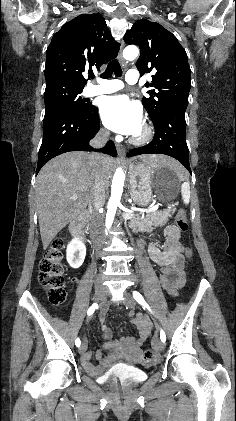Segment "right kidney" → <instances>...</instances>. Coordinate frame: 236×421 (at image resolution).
<instances>
[{"label": "right kidney", "mask_w": 236, "mask_h": 421, "mask_svg": "<svg viewBox=\"0 0 236 421\" xmlns=\"http://www.w3.org/2000/svg\"><path fill=\"white\" fill-rule=\"evenodd\" d=\"M85 257L86 247L84 243L78 241V239H72L66 251L67 263H69L70 267H73V269H79V267L83 265Z\"/></svg>", "instance_id": "1"}]
</instances>
